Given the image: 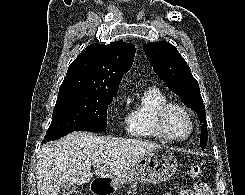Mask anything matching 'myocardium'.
<instances>
[{
  "instance_id": "1",
  "label": "myocardium",
  "mask_w": 245,
  "mask_h": 195,
  "mask_svg": "<svg viewBox=\"0 0 245 195\" xmlns=\"http://www.w3.org/2000/svg\"><path fill=\"white\" fill-rule=\"evenodd\" d=\"M171 109H178V110L182 111L186 115V117L189 121V131L183 137H173V136L169 135L168 132L166 131L164 121H165V117H166L167 113ZM153 125H154V128H155L156 132L158 133V135L162 139L169 141V142L185 141L186 139H188L192 135V133L194 131V127H195L194 119H193L191 112L185 106H183L179 103L170 102V101L162 104L161 106H159L156 109V111L154 113V117H153Z\"/></svg>"
}]
</instances>
